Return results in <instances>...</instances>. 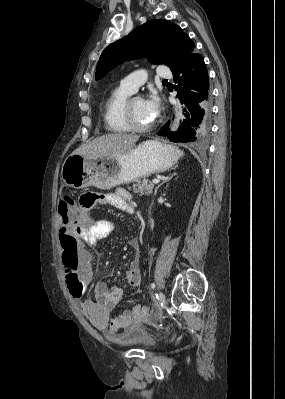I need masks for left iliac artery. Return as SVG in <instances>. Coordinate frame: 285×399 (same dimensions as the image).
Returning <instances> with one entry per match:
<instances>
[{
	"instance_id": "1",
	"label": "left iliac artery",
	"mask_w": 285,
	"mask_h": 399,
	"mask_svg": "<svg viewBox=\"0 0 285 399\" xmlns=\"http://www.w3.org/2000/svg\"><path fill=\"white\" fill-rule=\"evenodd\" d=\"M151 288L154 289L155 288V283H151ZM158 297V296H157Z\"/></svg>"
}]
</instances>
